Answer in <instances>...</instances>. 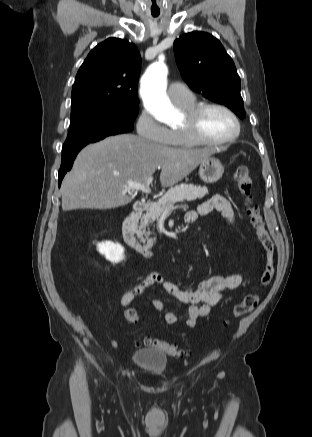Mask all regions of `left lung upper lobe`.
<instances>
[{
    "label": "left lung upper lobe",
    "mask_w": 312,
    "mask_h": 437,
    "mask_svg": "<svg viewBox=\"0 0 312 437\" xmlns=\"http://www.w3.org/2000/svg\"><path fill=\"white\" fill-rule=\"evenodd\" d=\"M174 54L183 79L207 99L224 104L241 119L243 99L235 64L211 34L193 31L174 42Z\"/></svg>",
    "instance_id": "1"
}]
</instances>
